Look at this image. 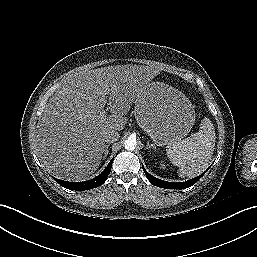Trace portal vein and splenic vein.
<instances>
[{
	"mask_svg": "<svg viewBox=\"0 0 257 257\" xmlns=\"http://www.w3.org/2000/svg\"><path fill=\"white\" fill-rule=\"evenodd\" d=\"M102 100H103L104 104H106L107 101H106L105 99H102ZM104 113H105V112H104Z\"/></svg>",
	"mask_w": 257,
	"mask_h": 257,
	"instance_id": "1",
	"label": "portal vein and splenic vein"
}]
</instances>
